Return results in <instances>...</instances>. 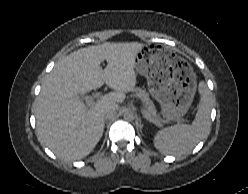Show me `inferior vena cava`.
Masks as SVG:
<instances>
[{"instance_id":"obj_1","label":"inferior vena cava","mask_w":248,"mask_h":194,"mask_svg":"<svg viewBox=\"0 0 248 194\" xmlns=\"http://www.w3.org/2000/svg\"><path fill=\"white\" fill-rule=\"evenodd\" d=\"M116 108H108L104 112V119L108 120L111 119L115 116L116 114Z\"/></svg>"}]
</instances>
